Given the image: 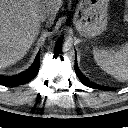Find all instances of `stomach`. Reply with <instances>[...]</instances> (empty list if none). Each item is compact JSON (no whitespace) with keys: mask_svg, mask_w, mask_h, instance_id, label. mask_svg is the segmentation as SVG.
<instances>
[{"mask_svg":"<svg viewBox=\"0 0 128 128\" xmlns=\"http://www.w3.org/2000/svg\"><path fill=\"white\" fill-rule=\"evenodd\" d=\"M109 0H80L74 24L81 36L91 38L106 30Z\"/></svg>","mask_w":128,"mask_h":128,"instance_id":"obj_1","label":"stomach"}]
</instances>
